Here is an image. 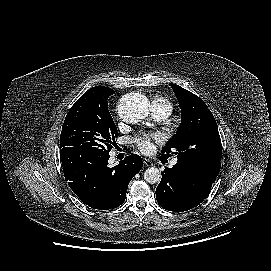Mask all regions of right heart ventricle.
Listing matches in <instances>:
<instances>
[{
  "instance_id": "obj_1",
  "label": "right heart ventricle",
  "mask_w": 271,
  "mask_h": 271,
  "mask_svg": "<svg viewBox=\"0 0 271 271\" xmlns=\"http://www.w3.org/2000/svg\"><path fill=\"white\" fill-rule=\"evenodd\" d=\"M157 102H160V103H163V104H166V105H169L171 107V105L169 104V102H167L166 100L164 99H158Z\"/></svg>"
}]
</instances>
